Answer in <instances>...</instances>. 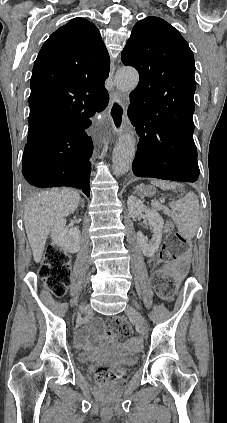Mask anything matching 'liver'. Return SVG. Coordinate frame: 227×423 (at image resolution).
I'll return each instance as SVG.
<instances>
[{
  "label": "liver",
  "mask_w": 227,
  "mask_h": 423,
  "mask_svg": "<svg viewBox=\"0 0 227 423\" xmlns=\"http://www.w3.org/2000/svg\"><path fill=\"white\" fill-rule=\"evenodd\" d=\"M80 196L69 188L44 190L33 194L24 208V225L34 261L42 259L47 237L61 217L78 208Z\"/></svg>",
  "instance_id": "6515ba94"
}]
</instances>
